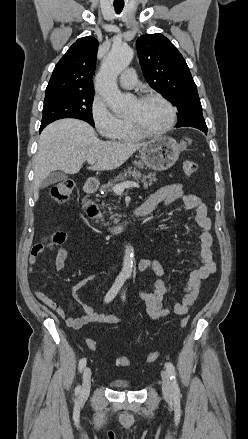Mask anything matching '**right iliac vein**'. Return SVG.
I'll return each instance as SVG.
<instances>
[{"instance_id": "1", "label": "right iliac vein", "mask_w": 248, "mask_h": 439, "mask_svg": "<svg viewBox=\"0 0 248 439\" xmlns=\"http://www.w3.org/2000/svg\"><path fill=\"white\" fill-rule=\"evenodd\" d=\"M91 369L90 367H86L83 372V382H82V389H81V397H87L90 392L91 387Z\"/></svg>"}]
</instances>
